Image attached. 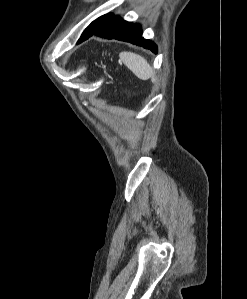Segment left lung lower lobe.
Returning a JSON list of instances; mask_svg holds the SVG:
<instances>
[{
    "label": "left lung lower lobe",
    "mask_w": 247,
    "mask_h": 299,
    "mask_svg": "<svg viewBox=\"0 0 247 299\" xmlns=\"http://www.w3.org/2000/svg\"><path fill=\"white\" fill-rule=\"evenodd\" d=\"M92 35L130 42L157 53L156 45L152 41L142 37V31L139 25L124 21L119 16L112 15L97 28L84 35L78 43L87 40Z\"/></svg>",
    "instance_id": "0a47b994"
}]
</instances>
